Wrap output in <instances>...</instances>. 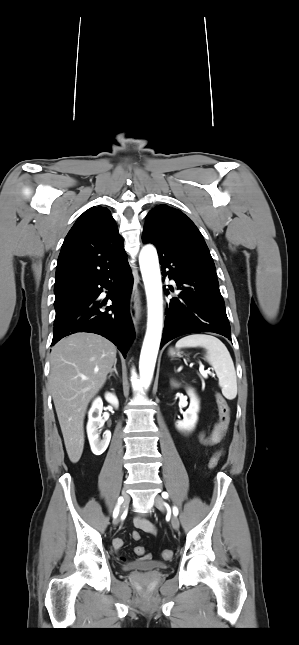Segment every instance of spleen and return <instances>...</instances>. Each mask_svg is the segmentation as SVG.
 <instances>
[{"label":"spleen","instance_id":"1","mask_svg":"<svg viewBox=\"0 0 299 645\" xmlns=\"http://www.w3.org/2000/svg\"><path fill=\"white\" fill-rule=\"evenodd\" d=\"M203 347L206 359L215 370L222 394L229 400L237 395V378L234 363L226 346L216 337L192 334L177 341L176 348Z\"/></svg>","mask_w":299,"mask_h":645}]
</instances>
